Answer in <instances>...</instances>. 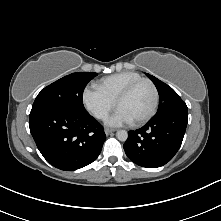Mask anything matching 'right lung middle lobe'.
Segmentation results:
<instances>
[{"label": "right lung middle lobe", "instance_id": "obj_1", "mask_svg": "<svg viewBox=\"0 0 221 221\" xmlns=\"http://www.w3.org/2000/svg\"><path fill=\"white\" fill-rule=\"evenodd\" d=\"M96 76L97 73L78 72L55 81L37 95L30 115L53 108L85 111L82 100L83 91L87 83Z\"/></svg>", "mask_w": 221, "mask_h": 221}]
</instances>
